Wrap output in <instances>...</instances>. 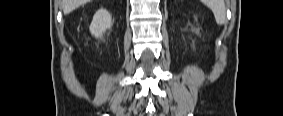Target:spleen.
<instances>
[{
    "mask_svg": "<svg viewBox=\"0 0 283 116\" xmlns=\"http://www.w3.org/2000/svg\"><path fill=\"white\" fill-rule=\"evenodd\" d=\"M204 4L211 9L215 21L218 25H223L226 21V8L223 0H205Z\"/></svg>",
    "mask_w": 283,
    "mask_h": 116,
    "instance_id": "3e777b00",
    "label": "spleen"
}]
</instances>
